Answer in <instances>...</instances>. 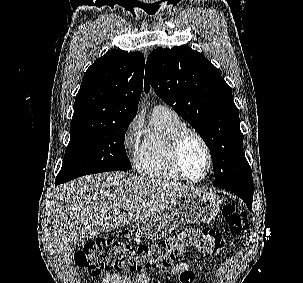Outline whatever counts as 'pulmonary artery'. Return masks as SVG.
I'll use <instances>...</instances> for the list:
<instances>
[{"instance_id":"pulmonary-artery-1","label":"pulmonary artery","mask_w":303,"mask_h":283,"mask_svg":"<svg viewBox=\"0 0 303 283\" xmlns=\"http://www.w3.org/2000/svg\"><path fill=\"white\" fill-rule=\"evenodd\" d=\"M164 108H167V107H164V106H157V107H155L154 110H160V109H164ZM167 109H169V108H167Z\"/></svg>"}]
</instances>
